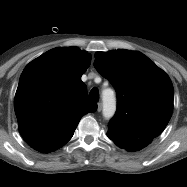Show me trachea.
<instances>
[{
	"label": "trachea",
	"mask_w": 187,
	"mask_h": 187,
	"mask_svg": "<svg viewBox=\"0 0 187 187\" xmlns=\"http://www.w3.org/2000/svg\"><path fill=\"white\" fill-rule=\"evenodd\" d=\"M88 99H89V101H93V102H98L99 101V91H98L97 88H93L90 91Z\"/></svg>",
	"instance_id": "3493384b"
}]
</instances>
